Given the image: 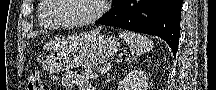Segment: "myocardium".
Instances as JSON below:
<instances>
[{
    "label": "myocardium",
    "instance_id": "obj_1",
    "mask_svg": "<svg viewBox=\"0 0 216 90\" xmlns=\"http://www.w3.org/2000/svg\"><path fill=\"white\" fill-rule=\"evenodd\" d=\"M49 1H51V3H55L56 8H53V11H51V13H48L47 21L53 26H55L56 28L66 29V30H73L94 23L106 12V6L104 3L108 2V0H94L96 1V3H99V7L95 14L80 21L79 23L67 24L56 19L58 15H61V12H64V9L67 8L66 5L67 3L63 2V0H49Z\"/></svg>",
    "mask_w": 216,
    "mask_h": 90
}]
</instances>
